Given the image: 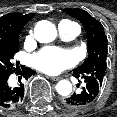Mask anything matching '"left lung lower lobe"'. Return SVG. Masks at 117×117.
I'll return each mask as SVG.
<instances>
[{
  "label": "left lung lower lobe",
  "mask_w": 117,
  "mask_h": 117,
  "mask_svg": "<svg viewBox=\"0 0 117 117\" xmlns=\"http://www.w3.org/2000/svg\"><path fill=\"white\" fill-rule=\"evenodd\" d=\"M80 77V74L74 72L73 76ZM84 78L85 86L80 93H74L63 100V105L67 108L78 109L89 106L94 102L101 87L99 82L90 76H81Z\"/></svg>",
  "instance_id": "0a47b994"
}]
</instances>
